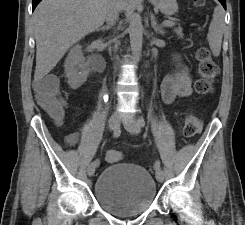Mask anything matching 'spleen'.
<instances>
[{"label": "spleen", "instance_id": "1", "mask_svg": "<svg viewBox=\"0 0 245 225\" xmlns=\"http://www.w3.org/2000/svg\"><path fill=\"white\" fill-rule=\"evenodd\" d=\"M224 28V11L220 6H217L207 35L209 46L214 56H219L220 54Z\"/></svg>", "mask_w": 245, "mask_h": 225}]
</instances>
